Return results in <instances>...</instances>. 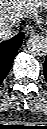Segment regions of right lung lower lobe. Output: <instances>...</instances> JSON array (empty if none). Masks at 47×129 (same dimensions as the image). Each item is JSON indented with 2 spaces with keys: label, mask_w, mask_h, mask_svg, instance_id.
<instances>
[{
  "label": "right lung lower lobe",
  "mask_w": 47,
  "mask_h": 129,
  "mask_svg": "<svg viewBox=\"0 0 47 129\" xmlns=\"http://www.w3.org/2000/svg\"><path fill=\"white\" fill-rule=\"evenodd\" d=\"M24 33H19L10 40L0 43V84L7 76L17 50L20 48Z\"/></svg>",
  "instance_id": "98d812e1"
}]
</instances>
